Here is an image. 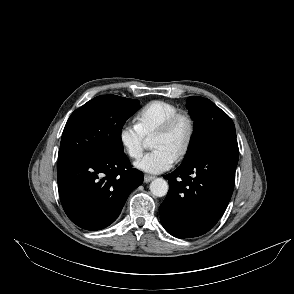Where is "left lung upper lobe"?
I'll return each mask as SVG.
<instances>
[{"instance_id": "5c2ea615", "label": "left lung upper lobe", "mask_w": 294, "mask_h": 294, "mask_svg": "<svg viewBox=\"0 0 294 294\" xmlns=\"http://www.w3.org/2000/svg\"><path fill=\"white\" fill-rule=\"evenodd\" d=\"M186 105L194 120L195 133L182 164L190 162L219 140L236 138L232 119L209 99L190 96Z\"/></svg>"}]
</instances>
